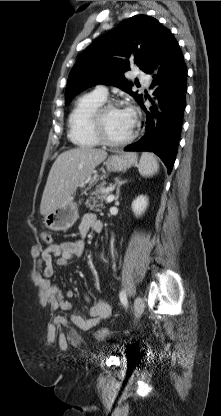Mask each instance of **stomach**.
I'll return each mask as SVG.
<instances>
[{
	"mask_svg": "<svg viewBox=\"0 0 221 416\" xmlns=\"http://www.w3.org/2000/svg\"><path fill=\"white\" fill-rule=\"evenodd\" d=\"M136 153H118L109 157L104 165L110 172H120L137 163ZM77 204L70 198L66 203L49 213L44 218L46 228L52 231H67L78 219Z\"/></svg>",
	"mask_w": 221,
	"mask_h": 416,
	"instance_id": "1",
	"label": "stomach"
}]
</instances>
